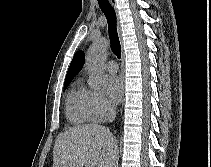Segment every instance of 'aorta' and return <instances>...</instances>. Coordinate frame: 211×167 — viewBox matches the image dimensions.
I'll return each instance as SVG.
<instances>
[{
  "label": "aorta",
  "mask_w": 211,
  "mask_h": 167,
  "mask_svg": "<svg viewBox=\"0 0 211 167\" xmlns=\"http://www.w3.org/2000/svg\"><path fill=\"white\" fill-rule=\"evenodd\" d=\"M108 51V42L102 39L94 43L88 51L87 67L90 73L89 86L98 90L105 82L106 76L103 70V60Z\"/></svg>",
  "instance_id": "obj_1"
}]
</instances>
